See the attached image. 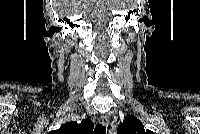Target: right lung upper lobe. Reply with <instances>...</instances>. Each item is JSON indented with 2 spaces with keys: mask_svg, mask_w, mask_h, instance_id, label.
Segmentation results:
<instances>
[{
  "mask_svg": "<svg viewBox=\"0 0 200 134\" xmlns=\"http://www.w3.org/2000/svg\"><path fill=\"white\" fill-rule=\"evenodd\" d=\"M93 123L91 120H83L81 123L69 122L50 134H91Z\"/></svg>",
  "mask_w": 200,
  "mask_h": 134,
  "instance_id": "1",
  "label": "right lung upper lobe"
}]
</instances>
